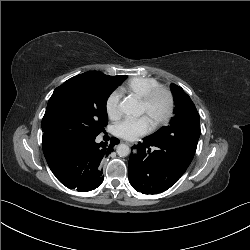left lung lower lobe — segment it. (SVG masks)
Masks as SVG:
<instances>
[{
	"mask_svg": "<svg viewBox=\"0 0 250 250\" xmlns=\"http://www.w3.org/2000/svg\"><path fill=\"white\" fill-rule=\"evenodd\" d=\"M200 124L176 129L171 136L150 135L133 146L129 182L143 194L161 193L184 174L196 152Z\"/></svg>",
	"mask_w": 250,
	"mask_h": 250,
	"instance_id": "0a47b994",
	"label": "left lung lower lobe"
}]
</instances>
